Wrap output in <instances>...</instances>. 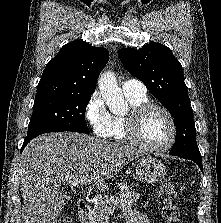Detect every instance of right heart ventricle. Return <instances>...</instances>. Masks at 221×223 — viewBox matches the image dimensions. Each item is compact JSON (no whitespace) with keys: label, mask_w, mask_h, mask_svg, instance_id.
<instances>
[{"label":"right heart ventricle","mask_w":221,"mask_h":223,"mask_svg":"<svg viewBox=\"0 0 221 223\" xmlns=\"http://www.w3.org/2000/svg\"><path fill=\"white\" fill-rule=\"evenodd\" d=\"M126 97L132 107L148 102L147 95L143 96L126 95ZM125 121H126V116H118V115L112 116L113 131L111 138L113 140L118 142H123L126 140Z\"/></svg>","instance_id":"right-heart-ventricle-1"}]
</instances>
